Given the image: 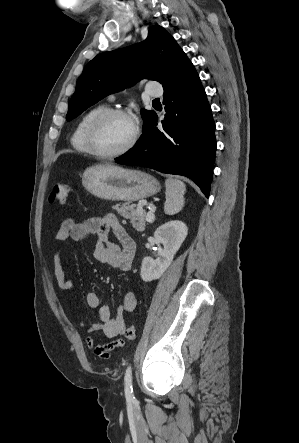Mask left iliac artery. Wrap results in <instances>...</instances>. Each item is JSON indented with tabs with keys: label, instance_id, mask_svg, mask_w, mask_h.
Segmentation results:
<instances>
[{
	"label": "left iliac artery",
	"instance_id": "44dca946",
	"mask_svg": "<svg viewBox=\"0 0 299 443\" xmlns=\"http://www.w3.org/2000/svg\"><path fill=\"white\" fill-rule=\"evenodd\" d=\"M125 396L127 400H134L133 387H132V368L128 366L124 377Z\"/></svg>",
	"mask_w": 299,
	"mask_h": 443
}]
</instances>
